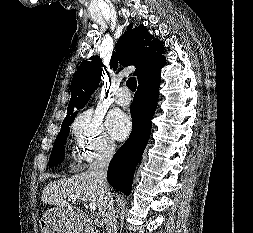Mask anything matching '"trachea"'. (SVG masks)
<instances>
[{"mask_svg": "<svg viewBox=\"0 0 253 233\" xmlns=\"http://www.w3.org/2000/svg\"><path fill=\"white\" fill-rule=\"evenodd\" d=\"M127 87L131 90V91H136V87H137V81L135 77H130L127 80Z\"/></svg>", "mask_w": 253, "mask_h": 233, "instance_id": "3493384b", "label": "trachea"}]
</instances>
